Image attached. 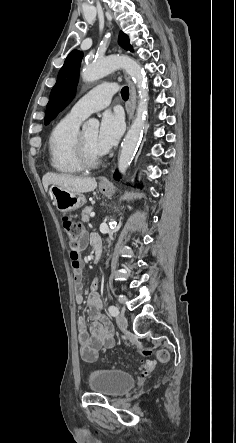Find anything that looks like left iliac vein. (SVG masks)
<instances>
[{"instance_id": "obj_1", "label": "left iliac vein", "mask_w": 236, "mask_h": 443, "mask_svg": "<svg viewBox=\"0 0 236 443\" xmlns=\"http://www.w3.org/2000/svg\"><path fill=\"white\" fill-rule=\"evenodd\" d=\"M116 321H117V325L120 329H122V330L127 329L128 321H127V318L125 317V315H123V314L118 315L116 318Z\"/></svg>"}]
</instances>
